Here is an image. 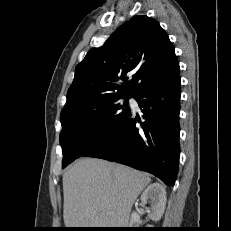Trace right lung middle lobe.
<instances>
[{"instance_id": "right-lung-middle-lobe-1", "label": "right lung middle lobe", "mask_w": 231, "mask_h": 231, "mask_svg": "<svg viewBox=\"0 0 231 231\" xmlns=\"http://www.w3.org/2000/svg\"><path fill=\"white\" fill-rule=\"evenodd\" d=\"M131 97H119L60 117L62 168L103 144L122 127L131 115L128 106ZM120 98H124V103H120Z\"/></svg>"}]
</instances>
